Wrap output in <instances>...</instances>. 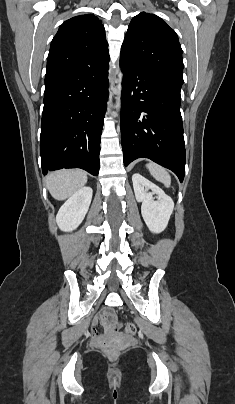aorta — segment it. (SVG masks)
Listing matches in <instances>:
<instances>
[{
	"instance_id": "aorta-1",
	"label": "aorta",
	"mask_w": 235,
	"mask_h": 404,
	"mask_svg": "<svg viewBox=\"0 0 235 404\" xmlns=\"http://www.w3.org/2000/svg\"><path fill=\"white\" fill-rule=\"evenodd\" d=\"M122 79L123 73L120 71L118 74V85H117V97H116V109L117 111L120 109L121 105V91H122Z\"/></svg>"
}]
</instances>
